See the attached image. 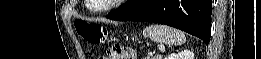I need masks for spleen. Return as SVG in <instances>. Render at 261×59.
I'll return each instance as SVG.
<instances>
[{
    "label": "spleen",
    "instance_id": "obj_1",
    "mask_svg": "<svg viewBox=\"0 0 261 59\" xmlns=\"http://www.w3.org/2000/svg\"><path fill=\"white\" fill-rule=\"evenodd\" d=\"M144 37L150 38L154 42L163 43L168 47L182 45L186 41L183 32L165 25H150L143 30Z\"/></svg>",
    "mask_w": 261,
    "mask_h": 59
}]
</instances>
